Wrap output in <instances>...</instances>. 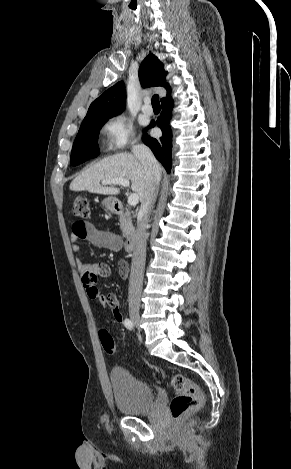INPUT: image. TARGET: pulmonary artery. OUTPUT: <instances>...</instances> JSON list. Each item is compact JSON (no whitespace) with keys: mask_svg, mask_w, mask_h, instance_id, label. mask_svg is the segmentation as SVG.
<instances>
[{"mask_svg":"<svg viewBox=\"0 0 291 469\" xmlns=\"http://www.w3.org/2000/svg\"><path fill=\"white\" fill-rule=\"evenodd\" d=\"M142 112L146 115H151L153 113V109L150 105V99L149 98H145L144 104L142 106Z\"/></svg>","mask_w":291,"mask_h":469,"instance_id":"e3ab8cb5","label":"pulmonary artery"}]
</instances>
